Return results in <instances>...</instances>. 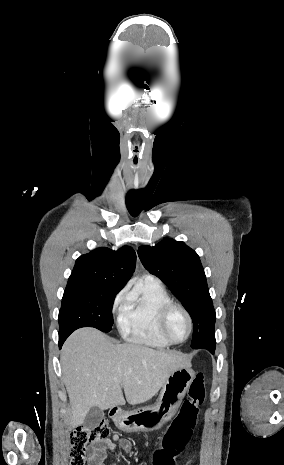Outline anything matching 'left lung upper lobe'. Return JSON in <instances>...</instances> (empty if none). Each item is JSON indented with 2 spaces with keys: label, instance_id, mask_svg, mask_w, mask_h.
<instances>
[{
  "label": "left lung upper lobe",
  "instance_id": "left-lung-upper-lobe-1",
  "mask_svg": "<svg viewBox=\"0 0 284 465\" xmlns=\"http://www.w3.org/2000/svg\"><path fill=\"white\" fill-rule=\"evenodd\" d=\"M138 255L144 267L172 290L190 314L194 325L191 347L213 354L216 315L197 253L184 242L165 239L154 247L140 246Z\"/></svg>",
  "mask_w": 284,
  "mask_h": 465
}]
</instances>
